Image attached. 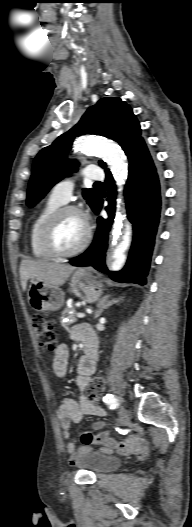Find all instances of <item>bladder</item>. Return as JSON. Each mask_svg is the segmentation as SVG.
<instances>
[{"mask_svg":"<svg viewBox=\"0 0 192 527\" xmlns=\"http://www.w3.org/2000/svg\"><path fill=\"white\" fill-rule=\"evenodd\" d=\"M120 462V458L116 455L93 450L79 457L77 466L99 475L114 470Z\"/></svg>","mask_w":192,"mask_h":527,"instance_id":"31cf9c89","label":"bladder"}]
</instances>
